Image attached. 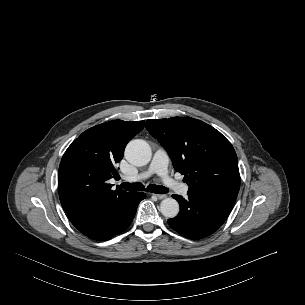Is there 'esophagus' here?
Here are the masks:
<instances>
[{
  "label": "esophagus",
  "instance_id": "34e87169",
  "mask_svg": "<svg viewBox=\"0 0 305 305\" xmlns=\"http://www.w3.org/2000/svg\"><path fill=\"white\" fill-rule=\"evenodd\" d=\"M154 196H156L158 199H164L166 198L165 194H153Z\"/></svg>",
  "mask_w": 305,
  "mask_h": 305
}]
</instances>
